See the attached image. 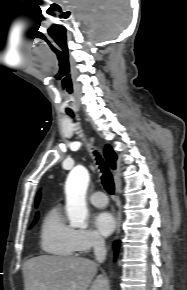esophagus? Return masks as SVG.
<instances>
[{
  "label": "esophagus",
  "instance_id": "34e87169",
  "mask_svg": "<svg viewBox=\"0 0 187 290\" xmlns=\"http://www.w3.org/2000/svg\"><path fill=\"white\" fill-rule=\"evenodd\" d=\"M120 225H121V217L119 212L117 213V217H116V237L118 236L119 232H120Z\"/></svg>",
  "mask_w": 187,
  "mask_h": 290
}]
</instances>
